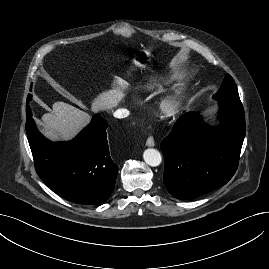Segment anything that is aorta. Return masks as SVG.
Here are the masks:
<instances>
[{"label": "aorta", "mask_w": 269, "mask_h": 269, "mask_svg": "<svg viewBox=\"0 0 269 269\" xmlns=\"http://www.w3.org/2000/svg\"><path fill=\"white\" fill-rule=\"evenodd\" d=\"M143 159L146 164L152 167L159 166L162 161L160 152L153 148H148L144 151Z\"/></svg>", "instance_id": "aorta-1"}]
</instances>
